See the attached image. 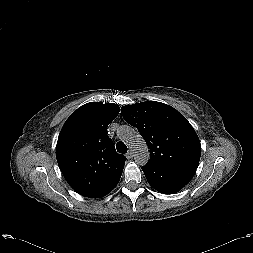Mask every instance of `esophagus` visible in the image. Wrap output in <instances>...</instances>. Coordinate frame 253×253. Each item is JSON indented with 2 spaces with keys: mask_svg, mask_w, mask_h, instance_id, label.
<instances>
[{
  "mask_svg": "<svg viewBox=\"0 0 253 253\" xmlns=\"http://www.w3.org/2000/svg\"><path fill=\"white\" fill-rule=\"evenodd\" d=\"M127 159H131L133 157V153L131 150L128 151V153L126 154Z\"/></svg>",
  "mask_w": 253,
  "mask_h": 253,
  "instance_id": "esophagus-1",
  "label": "esophagus"
}]
</instances>
